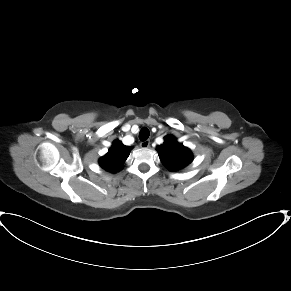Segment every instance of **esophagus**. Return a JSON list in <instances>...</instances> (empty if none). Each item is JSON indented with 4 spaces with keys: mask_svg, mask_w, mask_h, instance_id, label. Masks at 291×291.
Instances as JSON below:
<instances>
[{
    "mask_svg": "<svg viewBox=\"0 0 291 291\" xmlns=\"http://www.w3.org/2000/svg\"><path fill=\"white\" fill-rule=\"evenodd\" d=\"M140 146H141V148H149L150 147V141H148V140L142 141L140 143Z\"/></svg>",
    "mask_w": 291,
    "mask_h": 291,
    "instance_id": "obj_1",
    "label": "esophagus"
}]
</instances>
